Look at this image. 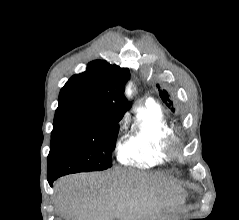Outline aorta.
I'll return each instance as SVG.
<instances>
[{"label":"aorta","mask_w":239,"mask_h":220,"mask_svg":"<svg viewBox=\"0 0 239 220\" xmlns=\"http://www.w3.org/2000/svg\"><path fill=\"white\" fill-rule=\"evenodd\" d=\"M132 94H133V91H132L131 87L128 86L127 89H126V95H127L129 98H131V97H132Z\"/></svg>","instance_id":"obj_1"}]
</instances>
